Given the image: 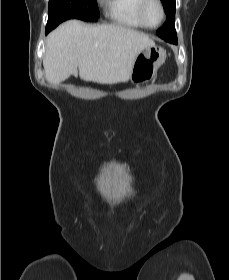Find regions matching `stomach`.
<instances>
[{
  "mask_svg": "<svg viewBox=\"0 0 229 280\" xmlns=\"http://www.w3.org/2000/svg\"><path fill=\"white\" fill-rule=\"evenodd\" d=\"M166 51L161 47H147L133 63L130 80L133 83L147 82L153 79L158 68L165 62Z\"/></svg>",
  "mask_w": 229,
  "mask_h": 280,
  "instance_id": "1",
  "label": "stomach"
}]
</instances>
